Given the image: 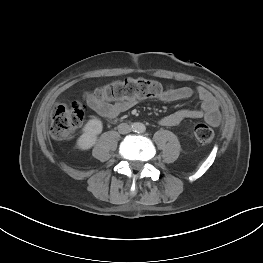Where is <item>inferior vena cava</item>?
Wrapping results in <instances>:
<instances>
[{
	"label": "inferior vena cava",
	"instance_id": "602c4592",
	"mask_svg": "<svg viewBox=\"0 0 263 263\" xmlns=\"http://www.w3.org/2000/svg\"><path fill=\"white\" fill-rule=\"evenodd\" d=\"M118 131L121 134H127L131 132V127L127 123H121L118 125Z\"/></svg>",
	"mask_w": 263,
	"mask_h": 263
}]
</instances>
